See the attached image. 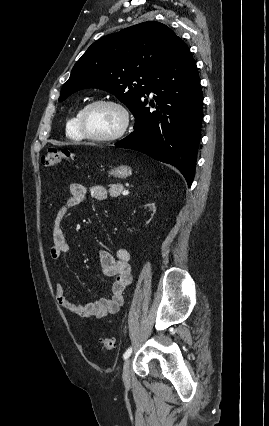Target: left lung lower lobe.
Here are the masks:
<instances>
[{"mask_svg": "<svg viewBox=\"0 0 269 426\" xmlns=\"http://www.w3.org/2000/svg\"><path fill=\"white\" fill-rule=\"evenodd\" d=\"M131 111L134 131L117 142L177 167L190 187L194 178L203 119V95L195 60L178 37L149 78L147 95Z\"/></svg>", "mask_w": 269, "mask_h": 426, "instance_id": "0a47b994", "label": "left lung lower lobe"}]
</instances>
